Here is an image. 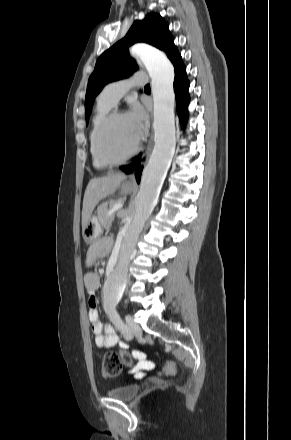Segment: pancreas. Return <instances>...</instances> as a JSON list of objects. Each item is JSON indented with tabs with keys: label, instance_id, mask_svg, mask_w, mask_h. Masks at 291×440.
<instances>
[{
	"label": "pancreas",
	"instance_id": "pancreas-1",
	"mask_svg": "<svg viewBox=\"0 0 291 440\" xmlns=\"http://www.w3.org/2000/svg\"><path fill=\"white\" fill-rule=\"evenodd\" d=\"M121 203V200L118 201H110L108 203L101 204L97 209V217L99 220V223L102 227L108 228L111 226L113 220H114V213L108 217V212L110 209L114 207V205Z\"/></svg>",
	"mask_w": 291,
	"mask_h": 440
}]
</instances>
